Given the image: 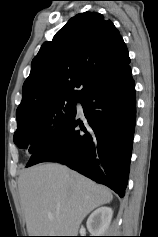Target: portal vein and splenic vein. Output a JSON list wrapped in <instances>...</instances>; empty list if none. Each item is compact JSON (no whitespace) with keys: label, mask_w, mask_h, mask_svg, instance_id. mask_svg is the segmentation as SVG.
<instances>
[{"label":"portal vein and splenic vein","mask_w":158,"mask_h":237,"mask_svg":"<svg viewBox=\"0 0 158 237\" xmlns=\"http://www.w3.org/2000/svg\"><path fill=\"white\" fill-rule=\"evenodd\" d=\"M49 219H51V220L53 219V216L51 214L49 215Z\"/></svg>","instance_id":"1"}]
</instances>
